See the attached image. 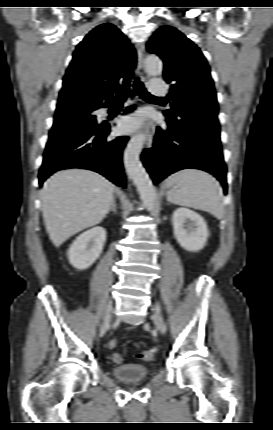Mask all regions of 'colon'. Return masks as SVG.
<instances>
[{"label": "colon", "instance_id": "colon-1", "mask_svg": "<svg viewBox=\"0 0 273 430\" xmlns=\"http://www.w3.org/2000/svg\"><path fill=\"white\" fill-rule=\"evenodd\" d=\"M116 343H117V341L115 339H112L109 341L108 346L114 347L116 345ZM155 354H156V349L155 348H149V349H145L142 352H140L137 355V357L141 361H151L154 359ZM111 358L116 364H121L123 362V356L119 353L112 354Z\"/></svg>", "mask_w": 273, "mask_h": 430}]
</instances>
